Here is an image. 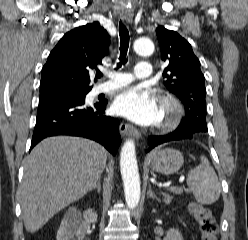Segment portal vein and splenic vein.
Listing matches in <instances>:
<instances>
[{
    "mask_svg": "<svg viewBox=\"0 0 248 240\" xmlns=\"http://www.w3.org/2000/svg\"><path fill=\"white\" fill-rule=\"evenodd\" d=\"M162 186V185H160ZM170 190H172L173 192H177V193H181L182 192V189L180 187H176V186H173V187H170Z\"/></svg>",
    "mask_w": 248,
    "mask_h": 240,
    "instance_id": "obj_1",
    "label": "portal vein and splenic vein"
}]
</instances>
